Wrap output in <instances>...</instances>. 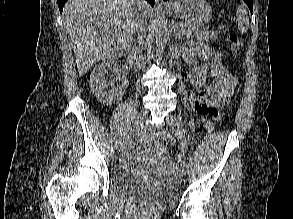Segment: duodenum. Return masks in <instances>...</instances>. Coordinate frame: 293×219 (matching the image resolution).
I'll use <instances>...</instances> for the list:
<instances>
[{
  "instance_id": "1",
  "label": "duodenum",
  "mask_w": 293,
  "mask_h": 219,
  "mask_svg": "<svg viewBox=\"0 0 293 219\" xmlns=\"http://www.w3.org/2000/svg\"><path fill=\"white\" fill-rule=\"evenodd\" d=\"M133 60H134V58L132 57V58H131V61L133 62Z\"/></svg>"
}]
</instances>
